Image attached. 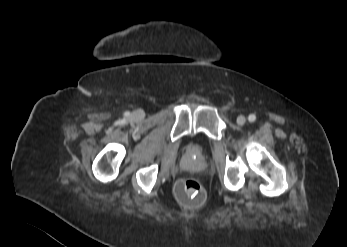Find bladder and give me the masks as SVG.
<instances>
[{
	"instance_id": "obj_1",
	"label": "bladder",
	"mask_w": 347,
	"mask_h": 247,
	"mask_svg": "<svg viewBox=\"0 0 347 247\" xmlns=\"http://www.w3.org/2000/svg\"><path fill=\"white\" fill-rule=\"evenodd\" d=\"M203 146L200 144H195L192 148V153L196 155H201L203 153Z\"/></svg>"
}]
</instances>
